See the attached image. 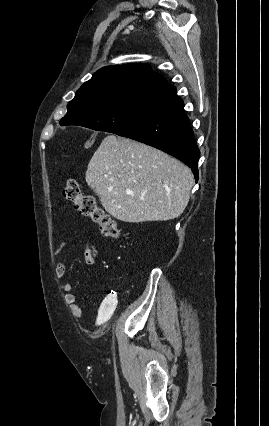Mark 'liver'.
I'll return each mask as SVG.
<instances>
[{
  "mask_svg": "<svg viewBox=\"0 0 269 426\" xmlns=\"http://www.w3.org/2000/svg\"><path fill=\"white\" fill-rule=\"evenodd\" d=\"M85 179L114 218L129 223L167 221L185 210L191 170L154 147L108 135L91 158Z\"/></svg>",
  "mask_w": 269,
  "mask_h": 426,
  "instance_id": "1",
  "label": "liver"
}]
</instances>
